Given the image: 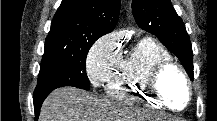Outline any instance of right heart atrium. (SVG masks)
Listing matches in <instances>:
<instances>
[{
    "label": "right heart atrium",
    "instance_id": "right-heart-atrium-1",
    "mask_svg": "<svg viewBox=\"0 0 217 121\" xmlns=\"http://www.w3.org/2000/svg\"><path fill=\"white\" fill-rule=\"evenodd\" d=\"M118 59L119 43L114 35H104L95 42L86 60L87 75L94 87L108 80Z\"/></svg>",
    "mask_w": 217,
    "mask_h": 121
}]
</instances>
